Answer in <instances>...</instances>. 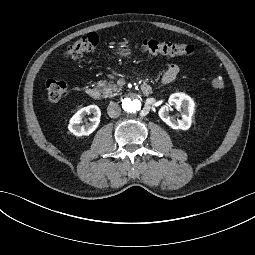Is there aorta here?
<instances>
[{
  "label": "aorta",
  "instance_id": "obj_1",
  "mask_svg": "<svg viewBox=\"0 0 255 255\" xmlns=\"http://www.w3.org/2000/svg\"><path fill=\"white\" fill-rule=\"evenodd\" d=\"M141 100L137 96H130L123 100L124 110L128 113H136L141 110Z\"/></svg>",
  "mask_w": 255,
  "mask_h": 255
}]
</instances>
